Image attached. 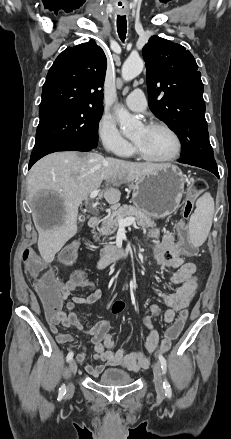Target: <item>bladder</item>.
<instances>
[{"instance_id": "bladder-1", "label": "bladder", "mask_w": 231, "mask_h": 439, "mask_svg": "<svg viewBox=\"0 0 231 439\" xmlns=\"http://www.w3.org/2000/svg\"><path fill=\"white\" fill-rule=\"evenodd\" d=\"M104 386H126L133 382V377L120 369H107L97 379Z\"/></svg>"}]
</instances>
